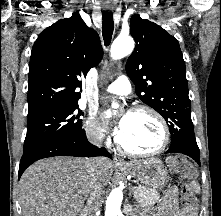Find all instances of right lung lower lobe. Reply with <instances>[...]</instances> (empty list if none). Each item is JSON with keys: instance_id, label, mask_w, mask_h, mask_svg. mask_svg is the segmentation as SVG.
<instances>
[{"instance_id": "1", "label": "right lung lower lobe", "mask_w": 221, "mask_h": 216, "mask_svg": "<svg viewBox=\"0 0 221 216\" xmlns=\"http://www.w3.org/2000/svg\"><path fill=\"white\" fill-rule=\"evenodd\" d=\"M53 156H105L112 158V155L104 147L98 148L89 143L85 131L82 130L77 134L53 140L29 152L23 153L19 165L18 178L35 161Z\"/></svg>"}]
</instances>
